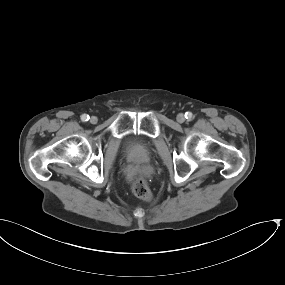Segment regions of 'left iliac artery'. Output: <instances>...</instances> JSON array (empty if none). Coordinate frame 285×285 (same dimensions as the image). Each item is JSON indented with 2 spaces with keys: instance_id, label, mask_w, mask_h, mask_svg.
I'll return each instance as SVG.
<instances>
[{
  "instance_id": "left-iliac-artery-1",
  "label": "left iliac artery",
  "mask_w": 285,
  "mask_h": 285,
  "mask_svg": "<svg viewBox=\"0 0 285 285\" xmlns=\"http://www.w3.org/2000/svg\"><path fill=\"white\" fill-rule=\"evenodd\" d=\"M185 118L188 120H191L193 118V114L191 112H186L185 113Z\"/></svg>"
}]
</instances>
